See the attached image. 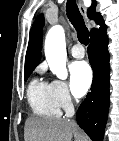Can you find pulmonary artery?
<instances>
[{"label": "pulmonary artery", "mask_w": 119, "mask_h": 141, "mask_svg": "<svg viewBox=\"0 0 119 141\" xmlns=\"http://www.w3.org/2000/svg\"><path fill=\"white\" fill-rule=\"evenodd\" d=\"M71 55L74 58H83L85 56V50L81 44H76L71 48Z\"/></svg>", "instance_id": "pulmonary-artery-1"}]
</instances>
